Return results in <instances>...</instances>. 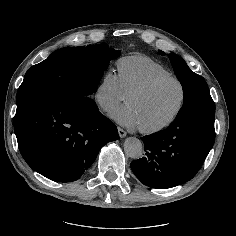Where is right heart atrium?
<instances>
[{
    "label": "right heart atrium",
    "instance_id": "obj_1",
    "mask_svg": "<svg viewBox=\"0 0 236 236\" xmlns=\"http://www.w3.org/2000/svg\"><path fill=\"white\" fill-rule=\"evenodd\" d=\"M121 86L119 74L108 70L93 91V98L98 106L105 112H112L127 98Z\"/></svg>",
    "mask_w": 236,
    "mask_h": 236
}]
</instances>
